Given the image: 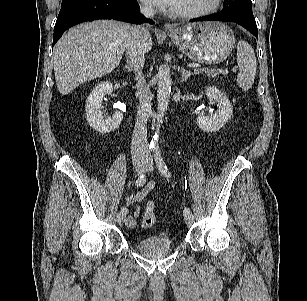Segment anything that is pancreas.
<instances>
[{"label": "pancreas", "mask_w": 307, "mask_h": 301, "mask_svg": "<svg viewBox=\"0 0 307 301\" xmlns=\"http://www.w3.org/2000/svg\"><path fill=\"white\" fill-rule=\"evenodd\" d=\"M195 73H205L207 74V76L209 77H217L218 75V71L216 69H195L194 70Z\"/></svg>", "instance_id": "cf45deb5"}]
</instances>
